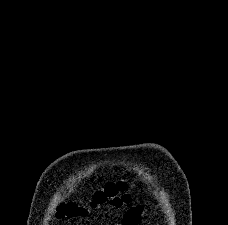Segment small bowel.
Wrapping results in <instances>:
<instances>
[{"mask_svg": "<svg viewBox=\"0 0 228 225\" xmlns=\"http://www.w3.org/2000/svg\"><path fill=\"white\" fill-rule=\"evenodd\" d=\"M140 212H143V207H134L130 209L124 216L122 225H139Z\"/></svg>", "mask_w": 228, "mask_h": 225, "instance_id": "obj_1", "label": "small bowel"}]
</instances>
